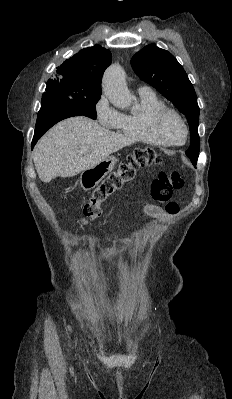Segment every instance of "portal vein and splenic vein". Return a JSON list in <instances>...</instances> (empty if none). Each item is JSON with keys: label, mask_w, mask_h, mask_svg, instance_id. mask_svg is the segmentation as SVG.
<instances>
[{"label": "portal vein and splenic vein", "mask_w": 232, "mask_h": 399, "mask_svg": "<svg viewBox=\"0 0 232 399\" xmlns=\"http://www.w3.org/2000/svg\"><path fill=\"white\" fill-rule=\"evenodd\" d=\"M88 150H89L88 146H81L79 154H82V156H85V154H87Z\"/></svg>", "instance_id": "1"}]
</instances>
